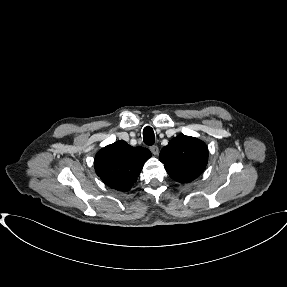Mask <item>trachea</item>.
I'll list each match as a JSON object with an SVG mask.
<instances>
[{
  "label": "trachea",
  "mask_w": 287,
  "mask_h": 287,
  "mask_svg": "<svg viewBox=\"0 0 287 287\" xmlns=\"http://www.w3.org/2000/svg\"><path fill=\"white\" fill-rule=\"evenodd\" d=\"M143 139L146 145H153L155 143L154 131L151 127L146 126L143 130Z\"/></svg>",
  "instance_id": "3493384b"
}]
</instances>
